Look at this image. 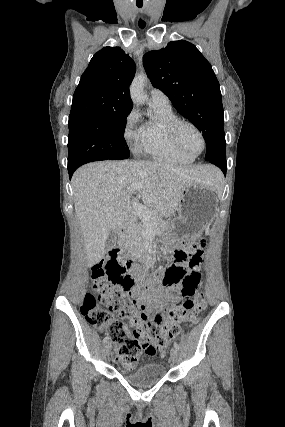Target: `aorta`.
I'll return each instance as SVG.
<instances>
[{"mask_svg":"<svg viewBox=\"0 0 285 427\" xmlns=\"http://www.w3.org/2000/svg\"><path fill=\"white\" fill-rule=\"evenodd\" d=\"M147 81V76L144 73L136 75L130 86V95L132 101L137 105H142L146 102L147 96L144 93V86ZM144 261V255L141 256Z\"/></svg>","mask_w":285,"mask_h":427,"instance_id":"obj_1","label":"aorta"}]
</instances>
